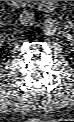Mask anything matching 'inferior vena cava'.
I'll list each match as a JSON object with an SVG mask.
<instances>
[{
    "instance_id": "obj_1",
    "label": "inferior vena cava",
    "mask_w": 74,
    "mask_h": 122,
    "mask_svg": "<svg viewBox=\"0 0 74 122\" xmlns=\"http://www.w3.org/2000/svg\"><path fill=\"white\" fill-rule=\"evenodd\" d=\"M22 25H32L34 23V13L30 11H23L19 18Z\"/></svg>"
}]
</instances>
